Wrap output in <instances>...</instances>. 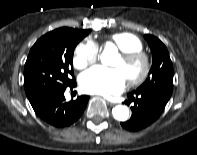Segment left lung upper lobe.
Instances as JSON below:
<instances>
[{"label": "left lung upper lobe", "mask_w": 197, "mask_h": 155, "mask_svg": "<svg viewBox=\"0 0 197 155\" xmlns=\"http://www.w3.org/2000/svg\"><path fill=\"white\" fill-rule=\"evenodd\" d=\"M153 62L146 81L136 92L154 93L170 99L173 90V65L165 45L155 36L146 34Z\"/></svg>", "instance_id": "5c2ea615"}]
</instances>
